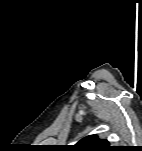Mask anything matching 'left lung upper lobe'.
Segmentation results:
<instances>
[{
    "mask_svg": "<svg viewBox=\"0 0 142 151\" xmlns=\"http://www.w3.org/2000/svg\"><path fill=\"white\" fill-rule=\"evenodd\" d=\"M117 149L110 146L107 140L99 139L97 135L87 136L70 147V151H117Z\"/></svg>",
    "mask_w": 142,
    "mask_h": 151,
    "instance_id": "obj_1",
    "label": "left lung upper lobe"
}]
</instances>
